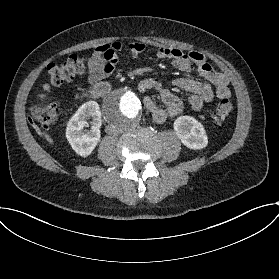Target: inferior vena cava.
I'll list each match as a JSON object with an SVG mask.
<instances>
[{
    "mask_svg": "<svg viewBox=\"0 0 279 279\" xmlns=\"http://www.w3.org/2000/svg\"><path fill=\"white\" fill-rule=\"evenodd\" d=\"M106 133L111 136H117L123 133V130L116 125L108 124L105 128Z\"/></svg>",
    "mask_w": 279,
    "mask_h": 279,
    "instance_id": "inferior-vena-cava-1",
    "label": "inferior vena cava"
}]
</instances>
